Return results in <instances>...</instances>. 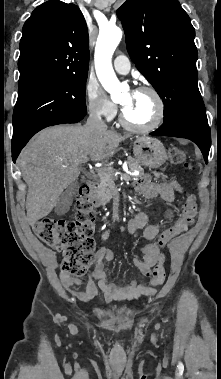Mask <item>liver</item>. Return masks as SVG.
<instances>
[{"label":"liver","instance_id":"1","mask_svg":"<svg viewBox=\"0 0 221 379\" xmlns=\"http://www.w3.org/2000/svg\"><path fill=\"white\" fill-rule=\"evenodd\" d=\"M130 135L98 131L85 126H56L39 132L22 150L18 163L28 185L27 218L30 225L46 217L61 193L80 175V165L108 161Z\"/></svg>","mask_w":221,"mask_h":379}]
</instances>
